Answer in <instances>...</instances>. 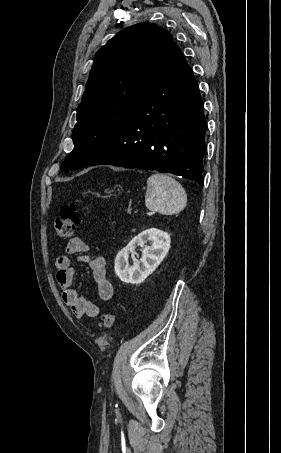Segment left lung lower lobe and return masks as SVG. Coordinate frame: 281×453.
Returning a JSON list of instances; mask_svg holds the SVG:
<instances>
[{
    "instance_id": "1",
    "label": "left lung lower lobe",
    "mask_w": 281,
    "mask_h": 453,
    "mask_svg": "<svg viewBox=\"0 0 281 453\" xmlns=\"http://www.w3.org/2000/svg\"><path fill=\"white\" fill-rule=\"evenodd\" d=\"M206 120L192 70L173 49L127 122L88 165L172 173L203 186Z\"/></svg>"
}]
</instances>
